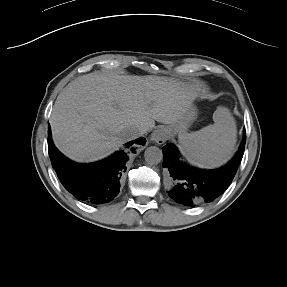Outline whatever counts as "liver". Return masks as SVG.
Here are the masks:
<instances>
[{
	"instance_id": "1",
	"label": "liver",
	"mask_w": 287,
	"mask_h": 287,
	"mask_svg": "<svg viewBox=\"0 0 287 287\" xmlns=\"http://www.w3.org/2000/svg\"><path fill=\"white\" fill-rule=\"evenodd\" d=\"M197 86L154 76L92 72L71 81L58 95L50 117L56 147L77 162H93L117 151L129 126L147 131L155 121L181 120Z\"/></svg>"
}]
</instances>
